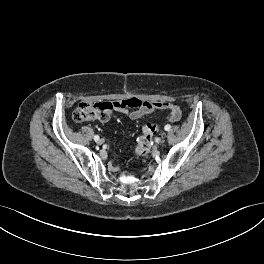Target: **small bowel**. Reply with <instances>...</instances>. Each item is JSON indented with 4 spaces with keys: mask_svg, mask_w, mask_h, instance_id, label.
Segmentation results:
<instances>
[{
    "mask_svg": "<svg viewBox=\"0 0 264 264\" xmlns=\"http://www.w3.org/2000/svg\"><path fill=\"white\" fill-rule=\"evenodd\" d=\"M129 106L119 108V110L129 115L131 119H140L146 115H149L156 110H167L168 120L170 122H176L181 117V110L177 105L168 102H156V101H141L137 98L128 99Z\"/></svg>",
    "mask_w": 264,
    "mask_h": 264,
    "instance_id": "c3829d8e",
    "label": "small bowel"
}]
</instances>
